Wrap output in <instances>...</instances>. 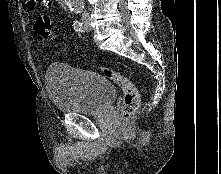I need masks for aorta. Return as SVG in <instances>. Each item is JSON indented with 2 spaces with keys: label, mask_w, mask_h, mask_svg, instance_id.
Listing matches in <instances>:
<instances>
[{
  "label": "aorta",
  "mask_w": 221,
  "mask_h": 174,
  "mask_svg": "<svg viewBox=\"0 0 221 174\" xmlns=\"http://www.w3.org/2000/svg\"><path fill=\"white\" fill-rule=\"evenodd\" d=\"M68 10L71 13H79L83 6V0H64Z\"/></svg>",
  "instance_id": "obj_1"
}]
</instances>
